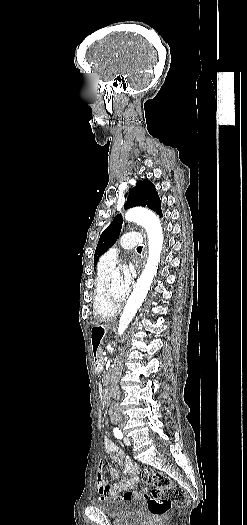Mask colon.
Listing matches in <instances>:
<instances>
[{
	"instance_id": "1",
	"label": "colon",
	"mask_w": 247,
	"mask_h": 525,
	"mask_svg": "<svg viewBox=\"0 0 247 525\" xmlns=\"http://www.w3.org/2000/svg\"><path fill=\"white\" fill-rule=\"evenodd\" d=\"M97 430L102 432L107 424L105 418L100 417L96 421ZM141 478L145 484L155 485L147 497V505L151 516L157 520L166 519L173 502L183 501L186 491L182 487L172 484L167 475L162 472L145 469L141 472Z\"/></svg>"
}]
</instances>
